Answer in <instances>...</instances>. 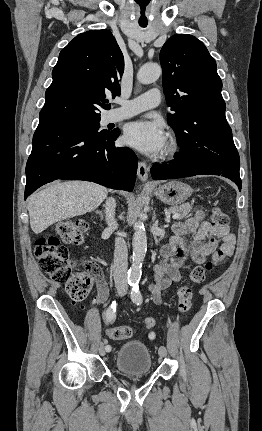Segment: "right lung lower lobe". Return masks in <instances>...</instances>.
Instances as JSON below:
<instances>
[{
  "label": "right lung lower lobe",
  "instance_id": "1",
  "mask_svg": "<svg viewBox=\"0 0 262 431\" xmlns=\"http://www.w3.org/2000/svg\"><path fill=\"white\" fill-rule=\"evenodd\" d=\"M119 134H99L67 122H40L26 165L25 199L57 179L92 181L132 191L137 157L129 148L115 147Z\"/></svg>",
  "mask_w": 262,
  "mask_h": 431
}]
</instances>
